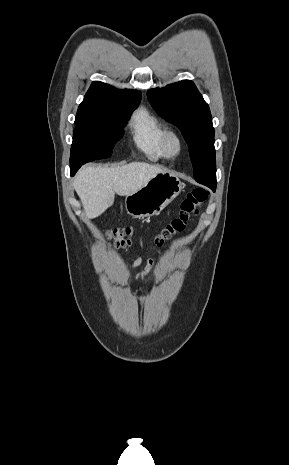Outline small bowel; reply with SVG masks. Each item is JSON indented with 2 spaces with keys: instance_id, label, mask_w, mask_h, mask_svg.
Instances as JSON below:
<instances>
[{
  "instance_id": "obj_1",
  "label": "small bowel",
  "mask_w": 289,
  "mask_h": 465,
  "mask_svg": "<svg viewBox=\"0 0 289 465\" xmlns=\"http://www.w3.org/2000/svg\"><path fill=\"white\" fill-rule=\"evenodd\" d=\"M142 264H143V259L138 258L133 262L132 267H138ZM154 266H155L154 260L151 258L148 259L144 269L140 273H138V275L135 277V280L137 281V280H141L145 278L149 273L153 271Z\"/></svg>"
}]
</instances>
